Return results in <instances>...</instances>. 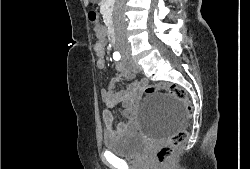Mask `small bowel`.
<instances>
[{
    "label": "small bowel",
    "mask_w": 250,
    "mask_h": 169,
    "mask_svg": "<svg viewBox=\"0 0 250 169\" xmlns=\"http://www.w3.org/2000/svg\"><path fill=\"white\" fill-rule=\"evenodd\" d=\"M97 40L95 42L94 50L98 57L97 67L104 68L105 63V32L102 27L96 30ZM118 76L126 79H133L131 71L126 69L122 64H116ZM147 85L145 79H135L131 84L123 90H115L114 83L102 91L103 100L105 102V110L103 112L104 124L107 135L118 133H135L138 130L137 116L140 110V101L142 98V87ZM117 105H121L124 109L126 122L114 124L113 110Z\"/></svg>",
    "instance_id": "1"
}]
</instances>
